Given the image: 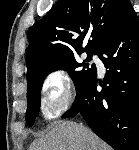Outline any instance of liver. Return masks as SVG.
I'll use <instances>...</instances> for the list:
<instances>
[{
  "instance_id": "6515ba94",
  "label": "liver",
  "mask_w": 139,
  "mask_h": 150,
  "mask_svg": "<svg viewBox=\"0 0 139 150\" xmlns=\"http://www.w3.org/2000/svg\"><path fill=\"white\" fill-rule=\"evenodd\" d=\"M29 150H110V147L82 124L63 121L37 139Z\"/></svg>"
}]
</instances>
